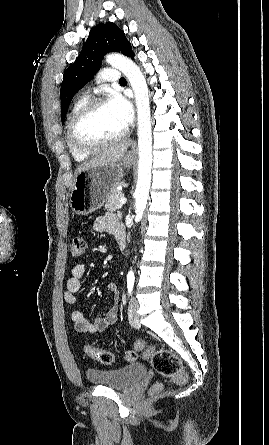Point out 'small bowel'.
I'll list each match as a JSON object with an SVG mask.
<instances>
[{"label": "small bowel", "instance_id": "obj_1", "mask_svg": "<svg viewBox=\"0 0 269 445\" xmlns=\"http://www.w3.org/2000/svg\"><path fill=\"white\" fill-rule=\"evenodd\" d=\"M93 228L97 232H105L114 234L115 236L124 231V228L118 218L112 214H105L95 219ZM86 272L85 265L77 263L72 267L71 277L67 280L66 290L64 291L63 298L68 304H75L77 301V293L82 287V278ZM108 291L112 294L113 300L110 302L107 311L97 317L93 322H90L83 314L81 310H73L71 312V320L74 324L76 331L83 333L97 334L106 330L109 326L113 325L118 318L116 302L118 300V289L115 283L107 284Z\"/></svg>", "mask_w": 269, "mask_h": 445}]
</instances>
